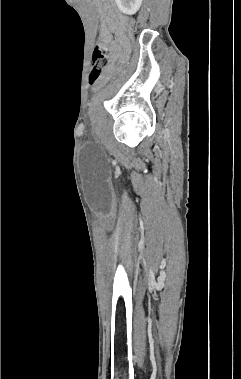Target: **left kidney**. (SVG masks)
<instances>
[{"instance_id": "5707ae66", "label": "left kidney", "mask_w": 241, "mask_h": 379, "mask_svg": "<svg viewBox=\"0 0 241 379\" xmlns=\"http://www.w3.org/2000/svg\"><path fill=\"white\" fill-rule=\"evenodd\" d=\"M121 12L127 15L135 14L142 3V0H115Z\"/></svg>"}]
</instances>
